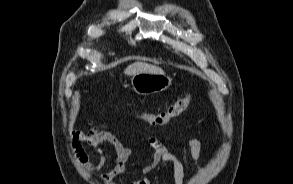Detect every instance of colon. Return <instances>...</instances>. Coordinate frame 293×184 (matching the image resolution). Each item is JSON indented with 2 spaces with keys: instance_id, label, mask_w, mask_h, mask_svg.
Listing matches in <instances>:
<instances>
[{
  "instance_id": "obj_1",
  "label": "colon",
  "mask_w": 293,
  "mask_h": 184,
  "mask_svg": "<svg viewBox=\"0 0 293 184\" xmlns=\"http://www.w3.org/2000/svg\"><path fill=\"white\" fill-rule=\"evenodd\" d=\"M191 102V95H187L177 100L167 110L157 114H131L135 119L143 121L151 126H163L167 124L173 118L182 114Z\"/></svg>"
}]
</instances>
